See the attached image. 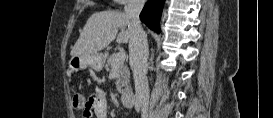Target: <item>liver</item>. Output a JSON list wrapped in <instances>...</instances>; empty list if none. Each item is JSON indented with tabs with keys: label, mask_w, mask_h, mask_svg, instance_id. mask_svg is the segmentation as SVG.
Instances as JSON below:
<instances>
[{
	"label": "liver",
	"mask_w": 273,
	"mask_h": 118,
	"mask_svg": "<svg viewBox=\"0 0 273 118\" xmlns=\"http://www.w3.org/2000/svg\"><path fill=\"white\" fill-rule=\"evenodd\" d=\"M130 17L124 12L113 10L96 12L87 20L82 32L71 50V55H89L106 48L113 40L127 43L130 39ZM121 32L117 35L118 29Z\"/></svg>",
	"instance_id": "obj_1"
}]
</instances>
